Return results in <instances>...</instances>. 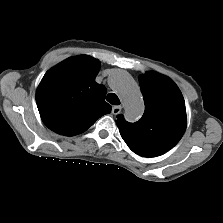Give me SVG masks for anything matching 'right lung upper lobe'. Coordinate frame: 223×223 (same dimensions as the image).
Returning <instances> with one entry per match:
<instances>
[{
  "label": "right lung upper lobe",
  "instance_id": "obj_1",
  "mask_svg": "<svg viewBox=\"0 0 223 223\" xmlns=\"http://www.w3.org/2000/svg\"><path fill=\"white\" fill-rule=\"evenodd\" d=\"M101 63L88 55L70 57L46 72L36 102L44 124L52 131L74 136L111 112L107 90L95 82Z\"/></svg>",
  "mask_w": 223,
  "mask_h": 223
}]
</instances>
